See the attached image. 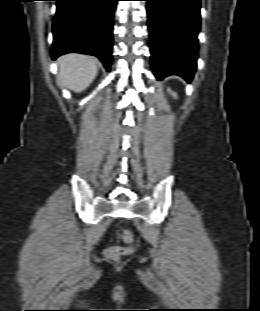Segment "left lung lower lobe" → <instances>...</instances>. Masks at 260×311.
Returning <instances> with one entry per match:
<instances>
[{"label":"left lung lower lobe","mask_w":260,"mask_h":311,"mask_svg":"<svg viewBox=\"0 0 260 311\" xmlns=\"http://www.w3.org/2000/svg\"><path fill=\"white\" fill-rule=\"evenodd\" d=\"M145 1L156 78L176 74L190 82L198 57L201 0Z\"/></svg>","instance_id":"left-lung-lower-lobe-1"}]
</instances>
